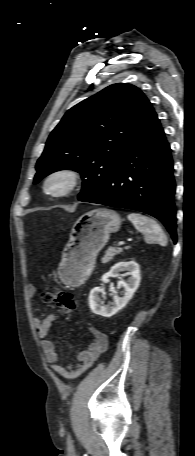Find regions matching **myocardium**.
<instances>
[{"label":"myocardium","instance_id":"myocardium-1","mask_svg":"<svg viewBox=\"0 0 195 456\" xmlns=\"http://www.w3.org/2000/svg\"><path fill=\"white\" fill-rule=\"evenodd\" d=\"M55 179H61L64 182V185L60 190H52L49 188L50 182ZM80 180L81 176L76 170L68 168L57 169L45 177L43 190L47 195L54 198L66 197L76 190L80 184Z\"/></svg>","mask_w":195,"mask_h":456}]
</instances>
